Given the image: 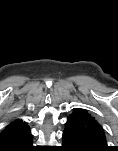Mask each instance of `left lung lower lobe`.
I'll use <instances>...</instances> for the list:
<instances>
[{"mask_svg":"<svg viewBox=\"0 0 118 151\" xmlns=\"http://www.w3.org/2000/svg\"><path fill=\"white\" fill-rule=\"evenodd\" d=\"M62 139L63 145L61 148L63 151H93L83 138L72 131L65 129Z\"/></svg>","mask_w":118,"mask_h":151,"instance_id":"obj_1","label":"left lung lower lobe"}]
</instances>
